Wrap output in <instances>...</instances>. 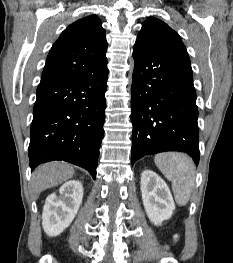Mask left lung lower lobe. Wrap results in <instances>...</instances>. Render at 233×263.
<instances>
[{
	"label": "left lung lower lobe",
	"mask_w": 233,
	"mask_h": 263,
	"mask_svg": "<svg viewBox=\"0 0 233 263\" xmlns=\"http://www.w3.org/2000/svg\"><path fill=\"white\" fill-rule=\"evenodd\" d=\"M133 57L132 165L163 151L185 152L198 165V109L189 56L135 44Z\"/></svg>",
	"instance_id": "left-lung-lower-lobe-1"
}]
</instances>
